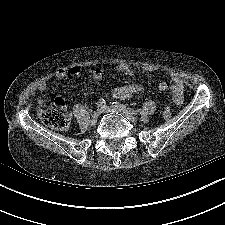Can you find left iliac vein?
<instances>
[{"label":"left iliac vein","mask_w":225,"mask_h":225,"mask_svg":"<svg viewBox=\"0 0 225 225\" xmlns=\"http://www.w3.org/2000/svg\"><path fill=\"white\" fill-rule=\"evenodd\" d=\"M101 112H103V113L118 112V113L123 114L125 117H127L129 119H135L133 113H131L128 110L123 109V108H116L113 106H104L103 108H101Z\"/></svg>","instance_id":"4c4485c4"}]
</instances>
